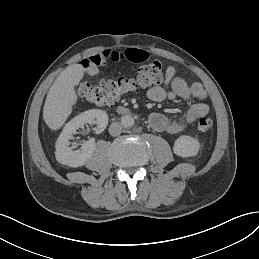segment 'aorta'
<instances>
[{
    "instance_id": "762f6f07",
    "label": "aorta",
    "mask_w": 259,
    "mask_h": 259,
    "mask_svg": "<svg viewBox=\"0 0 259 259\" xmlns=\"http://www.w3.org/2000/svg\"><path fill=\"white\" fill-rule=\"evenodd\" d=\"M134 123V118L130 115H124L121 117V124L124 128L132 127Z\"/></svg>"
}]
</instances>
